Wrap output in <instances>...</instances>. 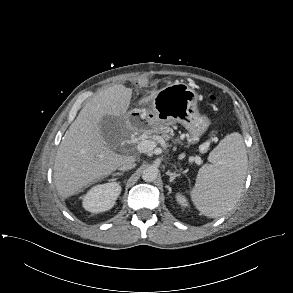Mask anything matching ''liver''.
<instances>
[{
    "label": "liver",
    "mask_w": 293,
    "mask_h": 293,
    "mask_svg": "<svg viewBox=\"0 0 293 293\" xmlns=\"http://www.w3.org/2000/svg\"><path fill=\"white\" fill-rule=\"evenodd\" d=\"M159 90L153 89L138 104L150 102ZM132 89L118 84L92 97L70 125L58 147L54 164V183L58 194L68 198L90 184L107 177L125 161L115 153L101 133L104 116L121 118L127 113Z\"/></svg>",
    "instance_id": "liver-1"
}]
</instances>
